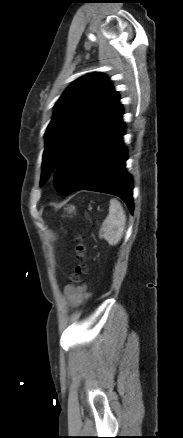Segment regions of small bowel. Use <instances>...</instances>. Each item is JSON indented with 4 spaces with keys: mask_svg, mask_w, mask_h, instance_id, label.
Instances as JSON below:
<instances>
[{
    "mask_svg": "<svg viewBox=\"0 0 183 438\" xmlns=\"http://www.w3.org/2000/svg\"><path fill=\"white\" fill-rule=\"evenodd\" d=\"M64 297L70 307L78 308L88 300L90 294L87 292L85 285H69L65 288Z\"/></svg>",
    "mask_w": 183,
    "mask_h": 438,
    "instance_id": "obj_1",
    "label": "small bowel"
}]
</instances>
